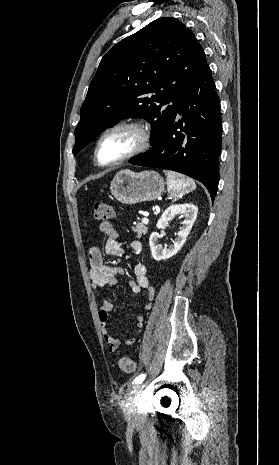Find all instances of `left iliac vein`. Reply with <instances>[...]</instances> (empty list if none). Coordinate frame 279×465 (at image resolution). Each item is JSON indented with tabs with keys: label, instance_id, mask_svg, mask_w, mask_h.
<instances>
[{
	"label": "left iliac vein",
	"instance_id": "4c4485c4",
	"mask_svg": "<svg viewBox=\"0 0 279 465\" xmlns=\"http://www.w3.org/2000/svg\"><path fill=\"white\" fill-rule=\"evenodd\" d=\"M143 388V383L136 385L128 398L125 408V418L130 424H134L137 421L136 404Z\"/></svg>",
	"mask_w": 279,
	"mask_h": 465
}]
</instances>
